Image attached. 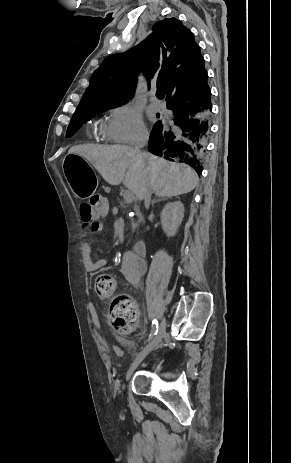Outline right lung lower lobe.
Instances as JSON below:
<instances>
[{"mask_svg": "<svg viewBox=\"0 0 291 463\" xmlns=\"http://www.w3.org/2000/svg\"><path fill=\"white\" fill-rule=\"evenodd\" d=\"M203 91L199 98L175 99L167 108L173 112V124L158 121L150 134L148 149L151 153L170 161L190 165L200 176L202 158L210 132L211 90L204 76Z\"/></svg>", "mask_w": 291, "mask_h": 463, "instance_id": "98d812e1", "label": "right lung lower lobe"}]
</instances>
